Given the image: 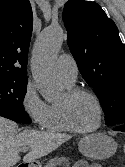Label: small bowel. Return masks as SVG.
Instances as JSON below:
<instances>
[{
  "label": "small bowel",
  "mask_w": 125,
  "mask_h": 167,
  "mask_svg": "<svg viewBox=\"0 0 125 167\" xmlns=\"http://www.w3.org/2000/svg\"><path fill=\"white\" fill-rule=\"evenodd\" d=\"M73 167H102L99 164H89L86 161H79L78 163H76Z\"/></svg>",
  "instance_id": "obj_1"
}]
</instances>
